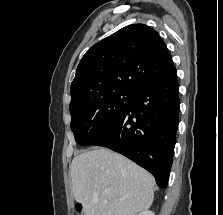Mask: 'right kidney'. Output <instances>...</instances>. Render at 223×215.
Wrapping results in <instances>:
<instances>
[{
    "label": "right kidney",
    "instance_id": "obj_1",
    "mask_svg": "<svg viewBox=\"0 0 223 215\" xmlns=\"http://www.w3.org/2000/svg\"><path fill=\"white\" fill-rule=\"evenodd\" d=\"M137 215H155L154 211H150V209H145V211H140Z\"/></svg>",
    "mask_w": 223,
    "mask_h": 215
}]
</instances>
